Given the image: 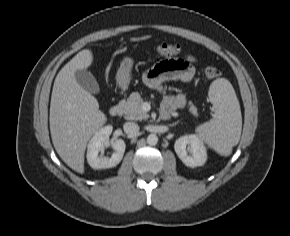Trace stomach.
<instances>
[{"label": "stomach", "mask_w": 290, "mask_h": 236, "mask_svg": "<svg viewBox=\"0 0 290 236\" xmlns=\"http://www.w3.org/2000/svg\"><path fill=\"white\" fill-rule=\"evenodd\" d=\"M133 60L129 57H126L120 63L116 74V81L119 87L126 88L131 79V71L133 67Z\"/></svg>", "instance_id": "0dacf381"}]
</instances>
